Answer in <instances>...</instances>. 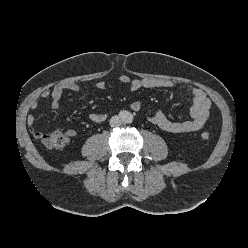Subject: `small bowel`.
Instances as JSON below:
<instances>
[{
    "label": "small bowel",
    "mask_w": 248,
    "mask_h": 248,
    "mask_svg": "<svg viewBox=\"0 0 248 248\" xmlns=\"http://www.w3.org/2000/svg\"><path fill=\"white\" fill-rule=\"evenodd\" d=\"M118 80L122 85L128 86L132 92H136L141 89L182 88L191 96L192 106L190 109L191 118L189 120L182 122L171 121L161 111H157L148 117V121L151 124L158 126L163 131L170 133H186L198 131L207 124L208 120L211 117V100L207 97L205 92L195 86L189 84L181 86L171 80L156 78L131 79L126 75H121ZM96 86L99 89H105L106 83L103 81H99L96 83ZM79 90L80 87L75 82L66 81L59 83L55 85L51 90L43 91L37 99L32 101L30 107L31 109L35 110L38 108L41 100L49 99L52 109L58 110L60 108V100L64 92H78ZM130 107L134 112H139L142 109V105L139 101L132 102ZM88 118L90 121L99 124L106 120L107 115L105 113H90L88 115ZM35 120V116L33 114H29L27 117V124L33 136L37 139H40L42 132L37 130L35 126ZM66 134L69 137H74L76 135V131L74 129H69L67 130Z\"/></svg>",
    "instance_id": "1"
}]
</instances>
